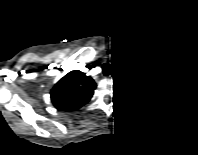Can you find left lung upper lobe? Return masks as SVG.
Masks as SVG:
<instances>
[{
	"label": "left lung upper lobe",
	"instance_id": "obj_1",
	"mask_svg": "<svg viewBox=\"0 0 198 155\" xmlns=\"http://www.w3.org/2000/svg\"><path fill=\"white\" fill-rule=\"evenodd\" d=\"M121 95L132 106L143 108L152 106L164 96L163 87L151 76L138 68H131L120 82Z\"/></svg>",
	"mask_w": 198,
	"mask_h": 155
}]
</instances>
